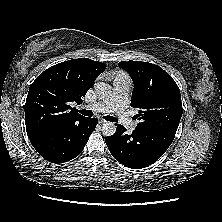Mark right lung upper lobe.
I'll return each mask as SVG.
<instances>
[{
	"label": "right lung upper lobe",
	"mask_w": 222,
	"mask_h": 222,
	"mask_svg": "<svg viewBox=\"0 0 222 222\" xmlns=\"http://www.w3.org/2000/svg\"><path fill=\"white\" fill-rule=\"evenodd\" d=\"M105 69L102 62L79 58L56 64L42 72L31 84L25 103L29 139L54 127L84 119L70 103H81V97Z\"/></svg>",
	"instance_id": "right-lung-upper-lobe-1"
}]
</instances>
